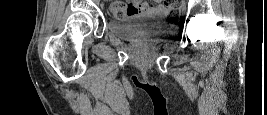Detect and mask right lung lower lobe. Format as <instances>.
Returning a JSON list of instances; mask_svg holds the SVG:
<instances>
[{
    "mask_svg": "<svg viewBox=\"0 0 267 115\" xmlns=\"http://www.w3.org/2000/svg\"><path fill=\"white\" fill-rule=\"evenodd\" d=\"M143 89H145L146 91H154L152 88L149 87H142Z\"/></svg>",
    "mask_w": 267,
    "mask_h": 115,
    "instance_id": "right-lung-lower-lobe-1",
    "label": "right lung lower lobe"
}]
</instances>
